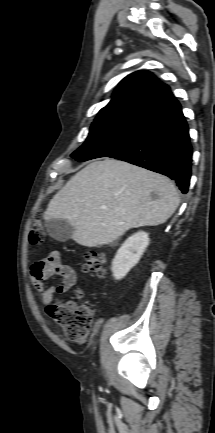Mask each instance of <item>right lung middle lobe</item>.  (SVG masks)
Listing matches in <instances>:
<instances>
[{
  "mask_svg": "<svg viewBox=\"0 0 215 433\" xmlns=\"http://www.w3.org/2000/svg\"><path fill=\"white\" fill-rule=\"evenodd\" d=\"M146 120L144 117H120L95 121L84 144L71 156L80 162L109 156L125 147Z\"/></svg>",
  "mask_w": 215,
  "mask_h": 433,
  "instance_id": "1",
  "label": "right lung middle lobe"
}]
</instances>
